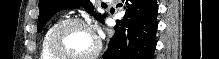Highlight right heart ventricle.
Masks as SVG:
<instances>
[{
	"label": "right heart ventricle",
	"instance_id": "1",
	"mask_svg": "<svg viewBox=\"0 0 219 59\" xmlns=\"http://www.w3.org/2000/svg\"><path fill=\"white\" fill-rule=\"evenodd\" d=\"M59 22H53L50 24L44 31L41 40H40V47H39V57L40 59H58L56 56H54L49 49V37L53 30V28L58 24Z\"/></svg>",
	"mask_w": 219,
	"mask_h": 59
}]
</instances>
